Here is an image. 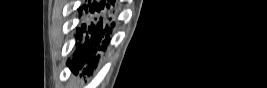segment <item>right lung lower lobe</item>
<instances>
[{"mask_svg":"<svg viewBox=\"0 0 267 88\" xmlns=\"http://www.w3.org/2000/svg\"><path fill=\"white\" fill-rule=\"evenodd\" d=\"M109 1L111 4L99 2L89 3V7L83 6L86 12H95V17L93 22L83 24L82 28L77 30L76 38L81 43L76 44L73 62L68 65L74 73L78 72V68H84L83 73L91 75L93 69L97 67L99 53L107 49L114 27V22L111 23V20L115 0Z\"/></svg>","mask_w":267,"mask_h":88,"instance_id":"right-lung-lower-lobe-1","label":"right lung lower lobe"}]
</instances>
